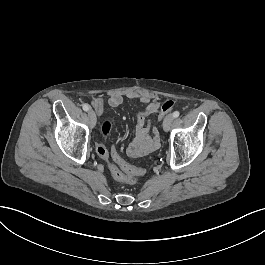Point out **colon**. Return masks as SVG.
Wrapping results in <instances>:
<instances>
[{
	"label": "colon",
	"instance_id": "obj_1",
	"mask_svg": "<svg viewBox=\"0 0 265 265\" xmlns=\"http://www.w3.org/2000/svg\"><path fill=\"white\" fill-rule=\"evenodd\" d=\"M178 106L177 100H166L165 104L160 108L161 113L156 116V119L159 122H162L165 119V115L169 112L173 107ZM113 121L112 120H104L100 127V136L103 139H108L110 136V132L112 129ZM97 154L102 159H106L108 157V150L105 145L98 144L96 147ZM113 163L109 164V169L112 174L118 180L125 181L127 183L133 184L135 183L142 175L145 174V169L143 168H135L126 163V161L122 158V156L118 153H114L112 155Z\"/></svg>",
	"mask_w": 265,
	"mask_h": 265
}]
</instances>
